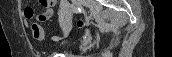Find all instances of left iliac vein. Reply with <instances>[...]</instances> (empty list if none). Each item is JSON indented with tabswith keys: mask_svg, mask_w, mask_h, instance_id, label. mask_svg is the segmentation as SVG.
I'll return each instance as SVG.
<instances>
[{
	"mask_svg": "<svg viewBox=\"0 0 172 57\" xmlns=\"http://www.w3.org/2000/svg\"><path fill=\"white\" fill-rule=\"evenodd\" d=\"M75 6H77L76 4H72L71 5V7H69V6H65V7H63V12H69V10H71V9H74L75 8ZM70 14H67L66 15V17H65V19H66V21H69L70 20Z\"/></svg>",
	"mask_w": 172,
	"mask_h": 57,
	"instance_id": "1",
	"label": "left iliac vein"
}]
</instances>
